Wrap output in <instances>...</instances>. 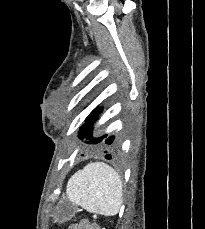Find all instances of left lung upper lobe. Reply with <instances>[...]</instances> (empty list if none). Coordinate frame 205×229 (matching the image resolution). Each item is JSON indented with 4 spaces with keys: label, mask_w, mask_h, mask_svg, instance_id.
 <instances>
[{
    "label": "left lung upper lobe",
    "mask_w": 205,
    "mask_h": 229,
    "mask_svg": "<svg viewBox=\"0 0 205 229\" xmlns=\"http://www.w3.org/2000/svg\"><path fill=\"white\" fill-rule=\"evenodd\" d=\"M100 112V110L99 111H93L89 116H88V118L86 119V121H85V125L86 126H82L81 128H80V133H79V138H81V139H84V138H86V139H89V140H91V135H92V131H93V127H92V121H93V115L92 114H94V115H96L97 113H99ZM102 141V139L101 138H97V139H92V141H86L87 143H92V144H97V143H100Z\"/></svg>",
    "instance_id": "5c2ea615"
}]
</instances>
